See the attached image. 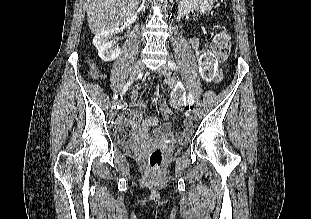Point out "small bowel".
<instances>
[{
  "label": "small bowel",
  "mask_w": 311,
  "mask_h": 219,
  "mask_svg": "<svg viewBox=\"0 0 311 219\" xmlns=\"http://www.w3.org/2000/svg\"><path fill=\"white\" fill-rule=\"evenodd\" d=\"M192 43L195 47L197 46V41L194 40ZM218 80L219 79L217 78L216 81L218 82ZM180 97H182V95H178V98ZM159 107L162 112V116H167L168 111L162 101L159 103ZM144 109L145 103L140 101L138 99V94L134 92L131 96L130 107L125 110V113L122 114L118 120V132L120 137H129L133 134L146 138L152 128L159 126L162 116L154 115L143 119ZM129 115H132V119H129ZM170 128L171 123L168 122L160 126L157 132L162 137H173L179 141L185 139L186 136L191 133L188 121H185L184 123V130L174 136L170 135Z\"/></svg>",
  "instance_id": "small-bowel-1"
}]
</instances>
